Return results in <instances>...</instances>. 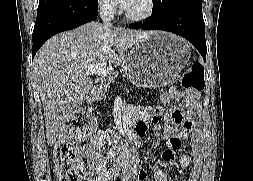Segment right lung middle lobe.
Here are the masks:
<instances>
[{
  "instance_id": "1",
  "label": "right lung middle lobe",
  "mask_w": 253,
  "mask_h": 181,
  "mask_svg": "<svg viewBox=\"0 0 253 181\" xmlns=\"http://www.w3.org/2000/svg\"><path fill=\"white\" fill-rule=\"evenodd\" d=\"M67 1H77V0H39V6H38V10L47 8L49 6L52 5H56L59 3H63V2H67ZM87 2H89L92 5H98V1L97 0H85Z\"/></svg>"
}]
</instances>
